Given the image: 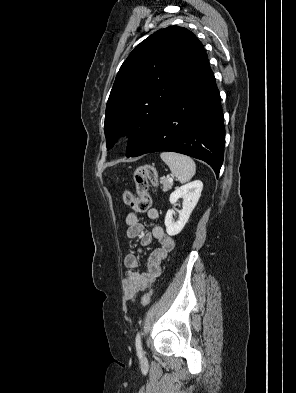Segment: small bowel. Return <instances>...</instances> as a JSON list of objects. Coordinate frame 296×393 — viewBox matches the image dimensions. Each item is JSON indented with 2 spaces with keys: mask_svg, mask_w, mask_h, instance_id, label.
Listing matches in <instances>:
<instances>
[{
  "mask_svg": "<svg viewBox=\"0 0 296 393\" xmlns=\"http://www.w3.org/2000/svg\"><path fill=\"white\" fill-rule=\"evenodd\" d=\"M147 217L150 220H156L159 217L158 210L150 208L147 211ZM127 231L126 236L129 239L140 237L142 246H149L154 240H157L160 247L154 249L147 261V270L138 271L139 255L141 248H136L135 252L129 253L124 258V264L127 268V276L124 280L126 297L133 302L142 292L147 291L155 279L161 274V265L167 254L174 248V240L164 232L161 226H154L150 232L144 230L140 222L139 215L135 212H129L126 216Z\"/></svg>",
  "mask_w": 296,
  "mask_h": 393,
  "instance_id": "small-bowel-1",
  "label": "small bowel"
}]
</instances>
